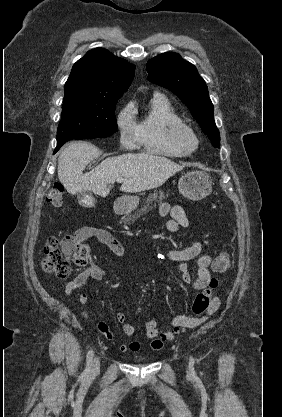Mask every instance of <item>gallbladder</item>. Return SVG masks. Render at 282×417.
<instances>
[{
	"label": "gallbladder",
	"instance_id": "obj_1",
	"mask_svg": "<svg viewBox=\"0 0 282 417\" xmlns=\"http://www.w3.org/2000/svg\"><path fill=\"white\" fill-rule=\"evenodd\" d=\"M77 198L79 204H82V206H87L88 202L92 200L93 196L89 190H80V192H77Z\"/></svg>",
	"mask_w": 282,
	"mask_h": 417
}]
</instances>
